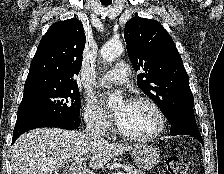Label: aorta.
<instances>
[{
	"label": "aorta",
	"mask_w": 224,
	"mask_h": 174,
	"mask_svg": "<svg viewBox=\"0 0 224 174\" xmlns=\"http://www.w3.org/2000/svg\"><path fill=\"white\" fill-rule=\"evenodd\" d=\"M124 50L123 44L120 41L107 42L100 51L101 57L104 61L110 62L119 57ZM122 101V96L118 95L109 99L108 105L110 107Z\"/></svg>",
	"instance_id": "aorta-1"
}]
</instances>
